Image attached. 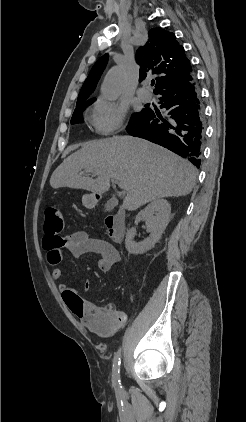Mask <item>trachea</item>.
Masks as SVG:
<instances>
[{
    "label": "trachea",
    "mask_w": 246,
    "mask_h": 422,
    "mask_svg": "<svg viewBox=\"0 0 246 422\" xmlns=\"http://www.w3.org/2000/svg\"><path fill=\"white\" fill-rule=\"evenodd\" d=\"M155 84V82L154 81H151V86H153Z\"/></svg>",
    "instance_id": "1"
}]
</instances>
